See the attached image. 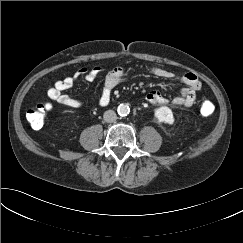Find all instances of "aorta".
<instances>
[{"label":"aorta","mask_w":243,"mask_h":243,"mask_svg":"<svg viewBox=\"0 0 243 243\" xmlns=\"http://www.w3.org/2000/svg\"><path fill=\"white\" fill-rule=\"evenodd\" d=\"M117 112L120 116H127L130 112V107L127 104H120L117 108Z\"/></svg>","instance_id":"1"}]
</instances>
